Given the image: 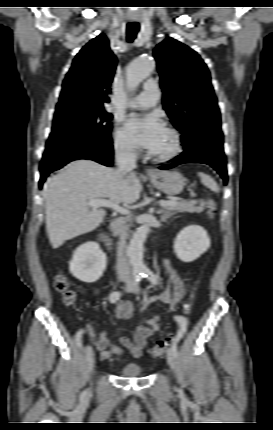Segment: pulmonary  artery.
<instances>
[{
    "label": "pulmonary artery",
    "mask_w": 273,
    "mask_h": 430,
    "mask_svg": "<svg viewBox=\"0 0 273 430\" xmlns=\"http://www.w3.org/2000/svg\"><path fill=\"white\" fill-rule=\"evenodd\" d=\"M160 99V90L155 80L149 79L145 82L143 91L135 98L134 104L143 109L157 105Z\"/></svg>",
    "instance_id": "e3ab8cb5"
}]
</instances>
